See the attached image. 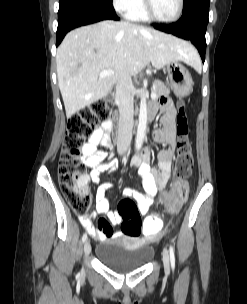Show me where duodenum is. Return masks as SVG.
I'll return each instance as SVG.
<instances>
[{
    "label": "duodenum",
    "instance_id": "410a0bca",
    "mask_svg": "<svg viewBox=\"0 0 247 304\" xmlns=\"http://www.w3.org/2000/svg\"><path fill=\"white\" fill-rule=\"evenodd\" d=\"M154 115H155V112L153 111V110H151V109H149V111H148V118L149 119H152L153 117H154ZM112 122H113V141H116V138H117V136L119 135V132H118V128H119V121H118V119H119V116L118 115H112ZM117 143V142H116Z\"/></svg>",
    "mask_w": 247,
    "mask_h": 304
}]
</instances>
